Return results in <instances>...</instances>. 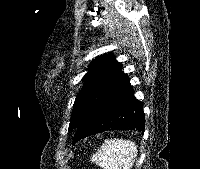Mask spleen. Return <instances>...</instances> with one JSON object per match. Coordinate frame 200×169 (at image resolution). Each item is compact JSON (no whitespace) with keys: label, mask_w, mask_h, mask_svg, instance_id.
Listing matches in <instances>:
<instances>
[{"label":"spleen","mask_w":200,"mask_h":169,"mask_svg":"<svg viewBox=\"0 0 200 169\" xmlns=\"http://www.w3.org/2000/svg\"><path fill=\"white\" fill-rule=\"evenodd\" d=\"M138 149L134 142L123 139L105 140L91 161L103 169H131L137 158Z\"/></svg>","instance_id":"3e777b00"}]
</instances>
